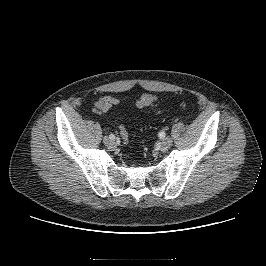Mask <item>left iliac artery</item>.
Segmentation results:
<instances>
[{"instance_id": "obj_1", "label": "left iliac artery", "mask_w": 266, "mask_h": 266, "mask_svg": "<svg viewBox=\"0 0 266 266\" xmlns=\"http://www.w3.org/2000/svg\"><path fill=\"white\" fill-rule=\"evenodd\" d=\"M167 132L165 130H162L158 133V141L162 142L166 138Z\"/></svg>"}]
</instances>
